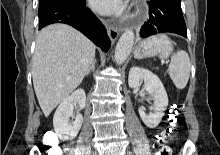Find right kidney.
Returning <instances> with one entry per match:
<instances>
[{
  "label": "right kidney",
  "mask_w": 220,
  "mask_h": 155,
  "mask_svg": "<svg viewBox=\"0 0 220 155\" xmlns=\"http://www.w3.org/2000/svg\"><path fill=\"white\" fill-rule=\"evenodd\" d=\"M74 103H78L80 109L86 106V94L83 89H78L65 98L54 114V130L63 140L74 139L82 126L83 116L81 114H77L74 117V121L69 122V118L73 117Z\"/></svg>",
  "instance_id": "right-kidney-1"
}]
</instances>
